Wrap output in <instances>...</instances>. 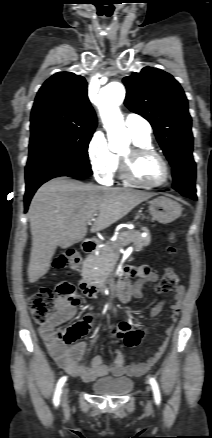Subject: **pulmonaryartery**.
I'll use <instances>...</instances> for the list:
<instances>
[{"label":"pulmonary artery","instance_id":"e3ab8cb5","mask_svg":"<svg viewBox=\"0 0 212 438\" xmlns=\"http://www.w3.org/2000/svg\"><path fill=\"white\" fill-rule=\"evenodd\" d=\"M124 124L131 133V135L150 137L151 135V125L142 116L136 113H129L126 115Z\"/></svg>","mask_w":212,"mask_h":438}]
</instances>
